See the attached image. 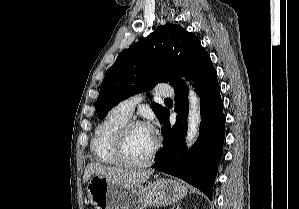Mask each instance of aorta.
<instances>
[{
	"label": "aorta",
	"instance_id": "obj_1",
	"mask_svg": "<svg viewBox=\"0 0 299 209\" xmlns=\"http://www.w3.org/2000/svg\"><path fill=\"white\" fill-rule=\"evenodd\" d=\"M188 100H189V112H188V130L186 134V143L188 146H191L198 135L199 126L201 122L200 98L192 88H190L189 90Z\"/></svg>",
	"mask_w": 299,
	"mask_h": 209
}]
</instances>
